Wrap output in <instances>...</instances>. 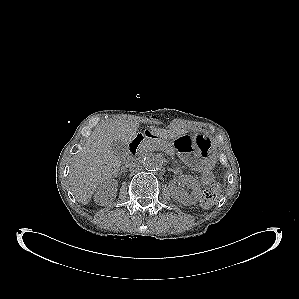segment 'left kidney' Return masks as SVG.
Returning a JSON list of instances; mask_svg holds the SVG:
<instances>
[{
	"label": "left kidney",
	"instance_id": "obj_1",
	"mask_svg": "<svg viewBox=\"0 0 299 299\" xmlns=\"http://www.w3.org/2000/svg\"><path fill=\"white\" fill-rule=\"evenodd\" d=\"M183 182L187 184L188 188L192 190L191 194L187 192H182L178 190L177 186L173 181L169 183L170 191L175 200L182 203L183 205L189 206L196 204L200 196V185L197 180L191 176L187 175L184 177Z\"/></svg>",
	"mask_w": 299,
	"mask_h": 299
}]
</instances>
